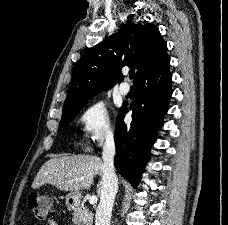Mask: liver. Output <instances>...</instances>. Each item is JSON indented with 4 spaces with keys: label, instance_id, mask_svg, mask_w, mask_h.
<instances>
[{
    "label": "liver",
    "instance_id": "1",
    "mask_svg": "<svg viewBox=\"0 0 228 225\" xmlns=\"http://www.w3.org/2000/svg\"><path fill=\"white\" fill-rule=\"evenodd\" d=\"M103 161L91 155H72L59 157L44 163L37 173L32 189H39L42 185H53L60 191L79 193L82 189H90L95 175H103ZM82 177H84L82 181ZM101 191V181L97 193Z\"/></svg>",
    "mask_w": 228,
    "mask_h": 225
}]
</instances>
